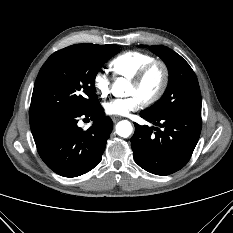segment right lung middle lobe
I'll return each instance as SVG.
<instances>
[{"label": "right lung middle lobe", "mask_w": 233, "mask_h": 233, "mask_svg": "<svg viewBox=\"0 0 233 233\" xmlns=\"http://www.w3.org/2000/svg\"><path fill=\"white\" fill-rule=\"evenodd\" d=\"M119 46L76 44L53 53L37 76L29 116L85 112L97 102L94 83L101 67Z\"/></svg>", "instance_id": "1"}]
</instances>
